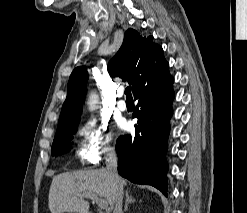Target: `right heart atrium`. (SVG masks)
<instances>
[{
    "instance_id": "obj_1",
    "label": "right heart atrium",
    "mask_w": 247,
    "mask_h": 213,
    "mask_svg": "<svg viewBox=\"0 0 247 213\" xmlns=\"http://www.w3.org/2000/svg\"><path fill=\"white\" fill-rule=\"evenodd\" d=\"M79 135L77 156L81 161L96 165L115 153L112 132L106 124L87 121L80 126Z\"/></svg>"
}]
</instances>
